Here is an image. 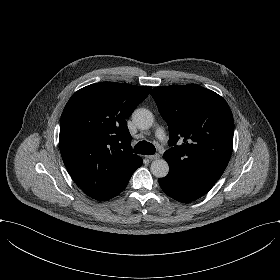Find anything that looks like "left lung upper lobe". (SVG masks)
<instances>
[{"label": "left lung upper lobe", "instance_id": "1", "mask_svg": "<svg viewBox=\"0 0 280 280\" xmlns=\"http://www.w3.org/2000/svg\"><path fill=\"white\" fill-rule=\"evenodd\" d=\"M168 123L170 170L184 177L218 180L232 153L234 120L227 102L196 84L155 87L151 92Z\"/></svg>", "mask_w": 280, "mask_h": 280}]
</instances>
